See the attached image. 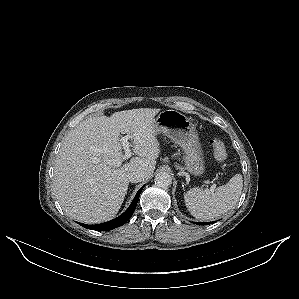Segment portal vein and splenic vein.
I'll return each mask as SVG.
<instances>
[{"mask_svg":"<svg viewBox=\"0 0 299 299\" xmlns=\"http://www.w3.org/2000/svg\"><path fill=\"white\" fill-rule=\"evenodd\" d=\"M131 138L130 135H126L124 137H122L120 139L121 143H122V146L124 148V152L125 154L122 156V161L124 160H127L131 157V149H130V146L131 144L128 142V140ZM121 162L117 163V164H120ZM216 188V185L215 184H212L211 188H210V191L213 192L214 189Z\"/></svg>","mask_w":299,"mask_h":299,"instance_id":"1","label":"portal vein and splenic vein"}]
</instances>
